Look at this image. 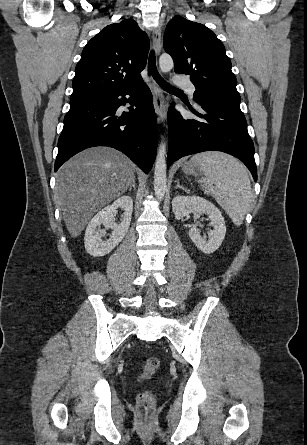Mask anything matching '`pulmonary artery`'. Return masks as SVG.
Wrapping results in <instances>:
<instances>
[{
  "instance_id": "pulmonary-artery-1",
  "label": "pulmonary artery",
  "mask_w": 307,
  "mask_h": 445,
  "mask_svg": "<svg viewBox=\"0 0 307 445\" xmlns=\"http://www.w3.org/2000/svg\"><path fill=\"white\" fill-rule=\"evenodd\" d=\"M173 81L178 84L179 90H192L193 88L192 81H185V78L182 75L174 76Z\"/></svg>"
}]
</instances>
